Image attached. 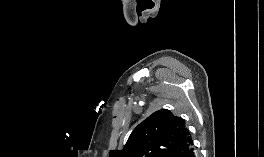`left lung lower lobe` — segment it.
<instances>
[{"label":"left lung lower lobe","instance_id":"left-lung-lower-lobe-1","mask_svg":"<svg viewBox=\"0 0 264 157\" xmlns=\"http://www.w3.org/2000/svg\"><path fill=\"white\" fill-rule=\"evenodd\" d=\"M188 157H197L194 151V148L191 150L190 154Z\"/></svg>","mask_w":264,"mask_h":157}]
</instances>
